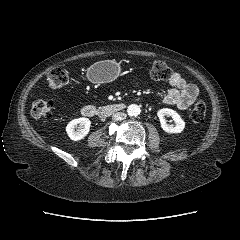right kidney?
Segmentation results:
<instances>
[{"label":"right kidney","instance_id":"1","mask_svg":"<svg viewBox=\"0 0 240 240\" xmlns=\"http://www.w3.org/2000/svg\"><path fill=\"white\" fill-rule=\"evenodd\" d=\"M91 121L88 118L82 117L73 119L66 127V132L69 138L73 141L83 139L90 131Z\"/></svg>","mask_w":240,"mask_h":240}]
</instances>
